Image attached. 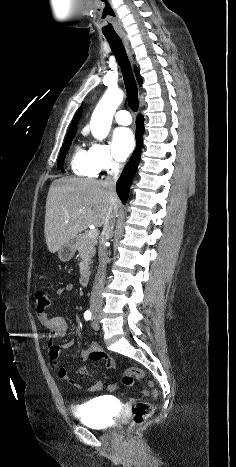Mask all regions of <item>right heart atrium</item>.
<instances>
[{
    "label": "right heart atrium",
    "mask_w": 236,
    "mask_h": 467,
    "mask_svg": "<svg viewBox=\"0 0 236 467\" xmlns=\"http://www.w3.org/2000/svg\"><path fill=\"white\" fill-rule=\"evenodd\" d=\"M89 156L93 167L98 172H112L120 165L112 147L103 142L91 143Z\"/></svg>",
    "instance_id": "right-heart-atrium-1"
}]
</instances>
